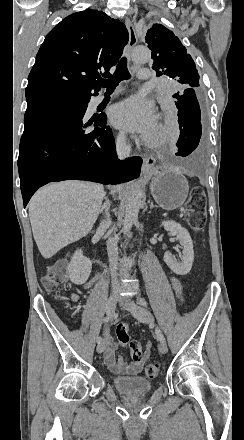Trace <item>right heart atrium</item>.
Wrapping results in <instances>:
<instances>
[{"instance_id":"right-heart-atrium-1","label":"right heart atrium","mask_w":244,"mask_h":440,"mask_svg":"<svg viewBox=\"0 0 244 440\" xmlns=\"http://www.w3.org/2000/svg\"><path fill=\"white\" fill-rule=\"evenodd\" d=\"M147 137L149 138L150 136H147ZM117 139H118V141L124 140V134L123 133H119L118 136H117Z\"/></svg>"}]
</instances>
